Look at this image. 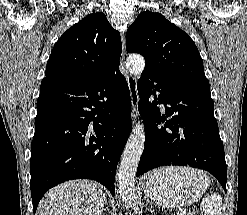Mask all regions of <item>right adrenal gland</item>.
I'll list each match as a JSON object with an SVG mask.
<instances>
[{
  "label": "right adrenal gland",
  "mask_w": 247,
  "mask_h": 215,
  "mask_svg": "<svg viewBox=\"0 0 247 215\" xmlns=\"http://www.w3.org/2000/svg\"><path fill=\"white\" fill-rule=\"evenodd\" d=\"M109 208H108V204H106L105 208H104V211H108Z\"/></svg>",
  "instance_id": "obj_1"
}]
</instances>
